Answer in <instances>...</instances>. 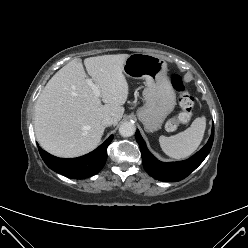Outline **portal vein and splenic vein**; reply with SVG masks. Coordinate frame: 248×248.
I'll use <instances>...</instances> for the list:
<instances>
[{"label":"portal vein and splenic vein","mask_w":248,"mask_h":248,"mask_svg":"<svg viewBox=\"0 0 248 248\" xmlns=\"http://www.w3.org/2000/svg\"><path fill=\"white\" fill-rule=\"evenodd\" d=\"M86 83L88 84V86L92 89L94 95L99 98L100 97V89L99 87L93 82L92 79H86Z\"/></svg>","instance_id":"portal-vein-and-splenic-vein-1"}]
</instances>
